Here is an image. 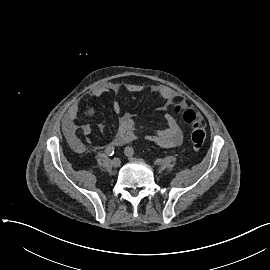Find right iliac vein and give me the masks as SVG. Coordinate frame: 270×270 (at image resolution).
I'll list each match as a JSON object with an SVG mask.
<instances>
[{"instance_id":"right-iliac-vein-1","label":"right iliac vein","mask_w":270,"mask_h":270,"mask_svg":"<svg viewBox=\"0 0 270 270\" xmlns=\"http://www.w3.org/2000/svg\"><path fill=\"white\" fill-rule=\"evenodd\" d=\"M121 164V161L119 158H114L112 161H111V166H113L114 168H117L119 167Z\"/></svg>"}]
</instances>
